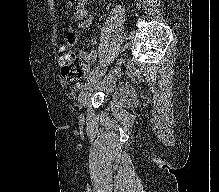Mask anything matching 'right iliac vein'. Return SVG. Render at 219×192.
Listing matches in <instances>:
<instances>
[{
    "label": "right iliac vein",
    "mask_w": 219,
    "mask_h": 192,
    "mask_svg": "<svg viewBox=\"0 0 219 192\" xmlns=\"http://www.w3.org/2000/svg\"><path fill=\"white\" fill-rule=\"evenodd\" d=\"M106 72V69H103L100 72H96L94 75H92L88 81L84 84L83 90L81 91L79 95V101L82 107L86 106L90 93L88 90L92 88V86L95 84V82L99 79V77L103 76Z\"/></svg>",
    "instance_id": "63e3f726"
}]
</instances>
